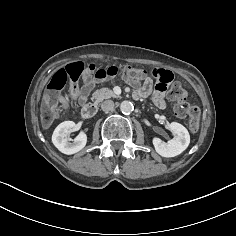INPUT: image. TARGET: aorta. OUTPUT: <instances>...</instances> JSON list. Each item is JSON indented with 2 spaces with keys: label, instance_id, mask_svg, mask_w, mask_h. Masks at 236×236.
Returning <instances> with one entry per match:
<instances>
[{
  "label": "aorta",
  "instance_id": "aorta-1",
  "mask_svg": "<svg viewBox=\"0 0 236 236\" xmlns=\"http://www.w3.org/2000/svg\"><path fill=\"white\" fill-rule=\"evenodd\" d=\"M133 104L129 101H123L120 104V110L124 114H130L133 111Z\"/></svg>",
  "mask_w": 236,
  "mask_h": 236
}]
</instances>
